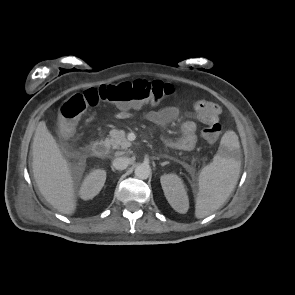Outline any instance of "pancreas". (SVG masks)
<instances>
[{"label":"pancreas","instance_id":"1","mask_svg":"<svg viewBox=\"0 0 295 295\" xmlns=\"http://www.w3.org/2000/svg\"><path fill=\"white\" fill-rule=\"evenodd\" d=\"M109 143L113 149L126 150L131 146V143L126 139V134L123 130H112L110 132Z\"/></svg>","mask_w":295,"mask_h":295}]
</instances>
